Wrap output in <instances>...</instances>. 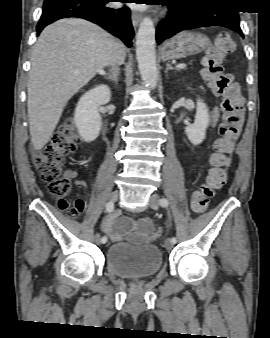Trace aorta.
I'll return each instance as SVG.
<instances>
[{"label":"aorta","instance_id":"aorta-1","mask_svg":"<svg viewBox=\"0 0 270 338\" xmlns=\"http://www.w3.org/2000/svg\"><path fill=\"white\" fill-rule=\"evenodd\" d=\"M136 58L143 82L149 87L155 88L158 82L155 28L149 17L142 20L136 35Z\"/></svg>","mask_w":270,"mask_h":338}]
</instances>
